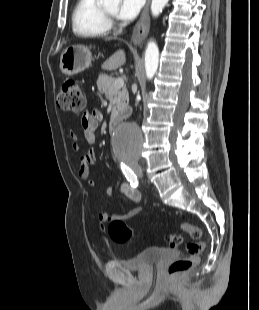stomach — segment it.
Wrapping results in <instances>:
<instances>
[{
	"label": "stomach",
	"mask_w": 259,
	"mask_h": 310,
	"mask_svg": "<svg viewBox=\"0 0 259 310\" xmlns=\"http://www.w3.org/2000/svg\"><path fill=\"white\" fill-rule=\"evenodd\" d=\"M90 50L83 45H72L63 50L60 57V70L63 74L71 76L78 74L91 65Z\"/></svg>",
	"instance_id": "stomach-1"
}]
</instances>
